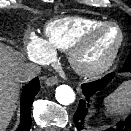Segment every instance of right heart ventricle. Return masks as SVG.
Segmentation results:
<instances>
[{"instance_id": "right-heart-ventricle-1", "label": "right heart ventricle", "mask_w": 131, "mask_h": 131, "mask_svg": "<svg viewBox=\"0 0 131 131\" xmlns=\"http://www.w3.org/2000/svg\"><path fill=\"white\" fill-rule=\"evenodd\" d=\"M104 21L82 16H66L51 20L44 28L45 41L53 52L68 51L89 29Z\"/></svg>"}]
</instances>
